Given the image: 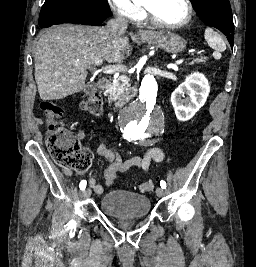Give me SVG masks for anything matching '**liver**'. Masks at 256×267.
<instances>
[{
  "label": "liver",
  "mask_w": 256,
  "mask_h": 267,
  "mask_svg": "<svg viewBox=\"0 0 256 267\" xmlns=\"http://www.w3.org/2000/svg\"><path fill=\"white\" fill-rule=\"evenodd\" d=\"M154 36L158 32H145ZM138 42L137 36H131ZM130 52L129 38L100 26H52L35 48V80L41 100H62L85 88L87 70L96 60L123 64Z\"/></svg>",
  "instance_id": "1"
}]
</instances>
